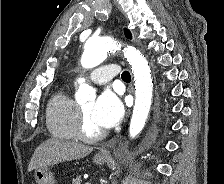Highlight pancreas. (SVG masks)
Wrapping results in <instances>:
<instances>
[{"instance_id":"pancreas-1","label":"pancreas","mask_w":224,"mask_h":184,"mask_svg":"<svg viewBox=\"0 0 224 184\" xmlns=\"http://www.w3.org/2000/svg\"><path fill=\"white\" fill-rule=\"evenodd\" d=\"M81 177L80 176H78V177H76L75 179H73V184H81Z\"/></svg>"}]
</instances>
